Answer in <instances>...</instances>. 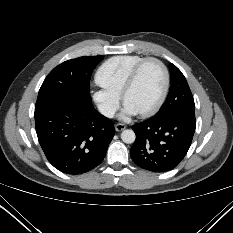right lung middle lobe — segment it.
Listing matches in <instances>:
<instances>
[{"label":"right lung middle lobe","mask_w":233,"mask_h":233,"mask_svg":"<svg viewBox=\"0 0 233 233\" xmlns=\"http://www.w3.org/2000/svg\"><path fill=\"white\" fill-rule=\"evenodd\" d=\"M103 56L79 57L55 67L44 80L38 94L35 109L59 100L91 103L90 77Z\"/></svg>","instance_id":"1"}]
</instances>
